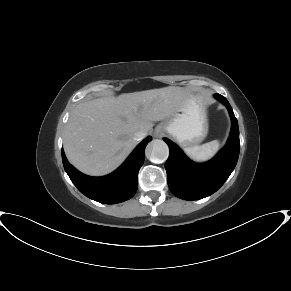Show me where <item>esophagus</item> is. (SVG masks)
Returning a JSON list of instances; mask_svg holds the SVG:
<instances>
[{
	"mask_svg": "<svg viewBox=\"0 0 291 291\" xmlns=\"http://www.w3.org/2000/svg\"><path fill=\"white\" fill-rule=\"evenodd\" d=\"M154 136H155V137H160V136H161V134H160V133H158V132H155V133H154Z\"/></svg>",
	"mask_w": 291,
	"mask_h": 291,
	"instance_id": "esophagus-1",
	"label": "esophagus"
}]
</instances>
